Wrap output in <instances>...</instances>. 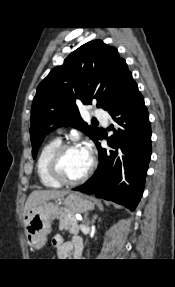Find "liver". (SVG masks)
<instances>
[{"label":"liver","instance_id":"1","mask_svg":"<svg viewBox=\"0 0 175 287\" xmlns=\"http://www.w3.org/2000/svg\"><path fill=\"white\" fill-rule=\"evenodd\" d=\"M68 194V191H60V190H35L33 191L24 207V217L31 211L33 208L39 206L43 202H46L51 199H59Z\"/></svg>","mask_w":175,"mask_h":287}]
</instances>
